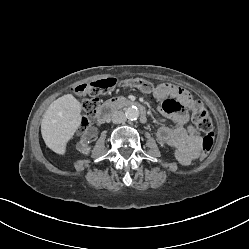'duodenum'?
<instances>
[{
	"label": "duodenum",
	"mask_w": 249,
	"mask_h": 249,
	"mask_svg": "<svg viewBox=\"0 0 249 249\" xmlns=\"http://www.w3.org/2000/svg\"><path fill=\"white\" fill-rule=\"evenodd\" d=\"M120 106H135L141 114V122L145 123L147 121L145 108L140 103L122 98L113 99L107 105L101 107L97 116L98 121H106L110 117L112 110Z\"/></svg>",
	"instance_id": "1"
}]
</instances>
